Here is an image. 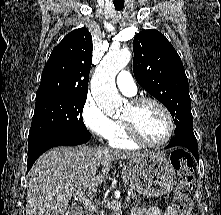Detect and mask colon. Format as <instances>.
I'll use <instances>...</instances> for the list:
<instances>
[{"label":"colon","mask_w":221,"mask_h":215,"mask_svg":"<svg viewBox=\"0 0 221 215\" xmlns=\"http://www.w3.org/2000/svg\"><path fill=\"white\" fill-rule=\"evenodd\" d=\"M171 162L179 177L173 207L179 215H192L190 192L193 183V158L186 150L175 149L171 153Z\"/></svg>","instance_id":"colon-1"}]
</instances>
